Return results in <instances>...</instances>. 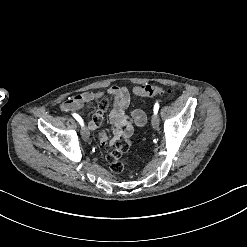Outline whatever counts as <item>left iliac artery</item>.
Masks as SVG:
<instances>
[{
    "instance_id": "left-iliac-artery-1",
    "label": "left iliac artery",
    "mask_w": 247,
    "mask_h": 247,
    "mask_svg": "<svg viewBox=\"0 0 247 247\" xmlns=\"http://www.w3.org/2000/svg\"><path fill=\"white\" fill-rule=\"evenodd\" d=\"M158 110H159V104L156 103V104L154 105V114H157V113H158Z\"/></svg>"
}]
</instances>
